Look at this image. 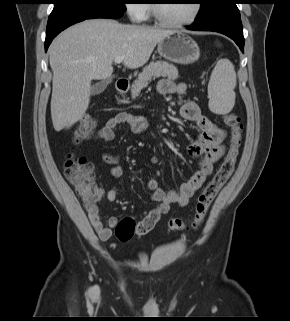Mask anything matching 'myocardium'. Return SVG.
Masks as SVG:
<instances>
[{"label": "myocardium", "mask_w": 290, "mask_h": 321, "mask_svg": "<svg viewBox=\"0 0 290 321\" xmlns=\"http://www.w3.org/2000/svg\"><path fill=\"white\" fill-rule=\"evenodd\" d=\"M161 1L162 0H154L153 3L151 4V10H152L153 17H154L155 21L161 26L181 27V26L190 25L193 22H195V20L198 18L199 14L201 12V7H202L201 3L199 2V0H196L194 11H193L191 17H189L186 20H182V21H172V20L165 18L162 15L161 8H160Z\"/></svg>", "instance_id": "myocardium-1"}]
</instances>
